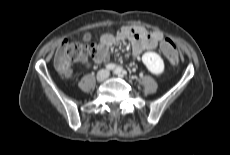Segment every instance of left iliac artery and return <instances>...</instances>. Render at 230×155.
Masks as SVG:
<instances>
[{
  "instance_id": "44dca946",
  "label": "left iliac artery",
  "mask_w": 230,
  "mask_h": 155,
  "mask_svg": "<svg viewBox=\"0 0 230 155\" xmlns=\"http://www.w3.org/2000/svg\"><path fill=\"white\" fill-rule=\"evenodd\" d=\"M114 73L117 75H124L125 71L122 69V67H116V69L114 70Z\"/></svg>"
}]
</instances>
